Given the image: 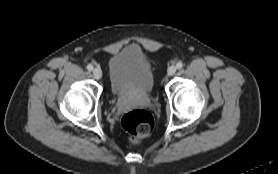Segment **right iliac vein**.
I'll use <instances>...</instances> for the list:
<instances>
[{
  "label": "right iliac vein",
  "instance_id": "right-iliac-vein-1",
  "mask_svg": "<svg viewBox=\"0 0 278 174\" xmlns=\"http://www.w3.org/2000/svg\"><path fill=\"white\" fill-rule=\"evenodd\" d=\"M93 75H94L95 79L99 80L102 78V71L99 68H95L93 70Z\"/></svg>",
  "mask_w": 278,
  "mask_h": 174
}]
</instances>
